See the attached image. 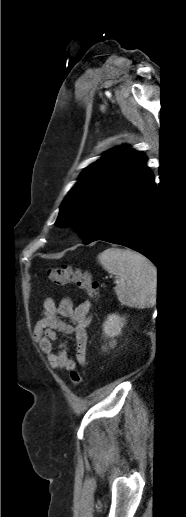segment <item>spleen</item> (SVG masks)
<instances>
[{
    "label": "spleen",
    "mask_w": 186,
    "mask_h": 517,
    "mask_svg": "<svg viewBox=\"0 0 186 517\" xmlns=\"http://www.w3.org/2000/svg\"><path fill=\"white\" fill-rule=\"evenodd\" d=\"M99 263L118 278V300L129 307H152L157 298V269L143 255L119 248H109L98 255Z\"/></svg>",
    "instance_id": "1"
}]
</instances>
